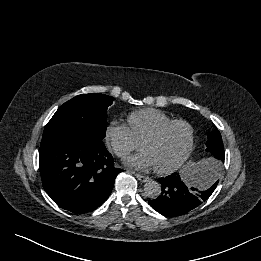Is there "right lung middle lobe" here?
<instances>
[{
    "mask_svg": "<svg viewBox=\"0 0 261 261\" xmlns=\"http://www.w3.org/2000/svg\"><path fill=\"white\" fill-rule=\"evenodd\" d=\"M114 98L104 94H81L64 103L45 126L42 140L75 132L106 134L107 108Z\"/></svg>",
    "mask_w": 261,
    "mask_h": 261,
    "instance_id": "dd1d6c3e",
    "label": "right lung middle lobe"
}]
</instances>
